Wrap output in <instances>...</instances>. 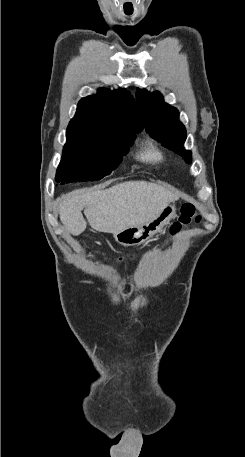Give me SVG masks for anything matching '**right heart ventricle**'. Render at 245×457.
I'll list each match as a JSON object with an SVG mask.
<instances>
[{
  "instance_id": "1",
  "label": "right heart ventricle",
  "mask_w": 245,
  "mask_h": 457,
  "mask_svg": "<svg viewBox=\"0 0 245 457\" xmlns=\"http://www.w3.org/2000/svg\"><path fill=\"white\" fill-rule=\"evenodd\" d=\"M144 157L149 160H158L160 158V153L153 146L152 143L148 144V148L144 153Z\"/></svg>"
}]
</instances>
